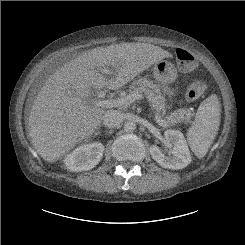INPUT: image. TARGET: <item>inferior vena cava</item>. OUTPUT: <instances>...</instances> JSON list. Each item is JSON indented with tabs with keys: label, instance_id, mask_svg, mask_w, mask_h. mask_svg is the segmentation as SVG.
I'll return each mask as SVG.
<instances>
[{
	"label": "inferior vena cava",
	"instance_id": "obj_1",
	"mask_svg": "<svg viewBox=\"0 0 245 245\" xmlns=\"http://www.w3.org/2000/svg\"><path fill=\"white\" fill-rule=\"evenodd\" d=\"M123 117L117 110H108L103 116V124L108 128H114L121 124Z\"/></svg>",
	"mask_w": 245,
	"mask_h": 245
}]
</instances>
